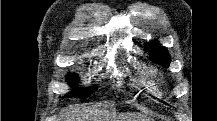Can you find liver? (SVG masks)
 Segmentation results:
<instances>
[{"label": "liver", "instance_id": "6515ba94", "mask_svg": "<svg viewBox=\"0 0 217 121\" xmlns=\"http://www.w3.org/2000/svg\"><path fill=\"white\" fill-rule=\"evenodd\" d=\"M78 121H102L101 113L90 108L78 109L76 112ZM81 116V117H80ZM65 121H73V117L67 116Z\"/></svg>", "mask_w": 217, "mask_h": 121}]
</instances>
